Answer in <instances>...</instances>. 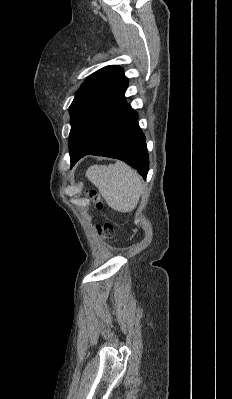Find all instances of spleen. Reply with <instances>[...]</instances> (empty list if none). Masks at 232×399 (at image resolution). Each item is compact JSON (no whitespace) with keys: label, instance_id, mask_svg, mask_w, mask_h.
Returning <instances> with one entry per match:
<instances>
[{"label":"spleen","instance_id":"obj_1","mask_svg":"<svg viewBox=\"0 0 232 399\" xmlns=\"http://www.w3.org/2000/svg\"><path fill=\"white\" fill-rule=\"evenodd\" d=\"M86 176L112 209L133 211L137 207L143 190L141 176L124 162L91 166Z\"/></svg>","mask_w":232,"mask_h":399}]
</instances>
